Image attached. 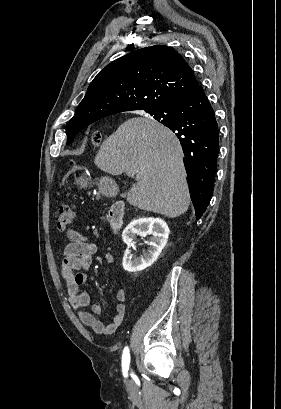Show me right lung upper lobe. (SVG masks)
<instances>
[{
  "instance_id": "1",
  "label": "right lung upper lobe",
  "mask_w": 281,
  "mask_h": 409,
  "mask_svg": "<svg viewBox=\"0 0 281 409\" xmlns=\"http://www.w3.org/2000/svg\"><path fill=\"white\" fill-rule=\"evenodd\" d=\"M198 86L192 69L174 49L155 45L132 51L94 78L67 127H87L124 111L161 109Z\"/></svg>"
}]
</instances>
